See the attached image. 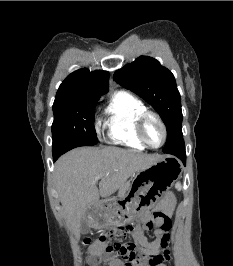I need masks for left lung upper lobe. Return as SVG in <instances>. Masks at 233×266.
Masks as SVG:
<instances>
[{"instance_id":"left-lung-upper-lobe-1","label":"left lung upper lobe","mask_w":233,"mask_h":266,"mask_svg":"<svg viewBox=\"0 0 233 266\" xmlns=\"http://www.w3.org/2000/svg\"><path fill=\"white\" fill-rule=\"evenodd\" d=\"M114 80L148 102L161 116L167 128L163 151L183 139L181 97L174 75L159 61L140 56L117 70Z\"/></svg>"}]
</instances>
